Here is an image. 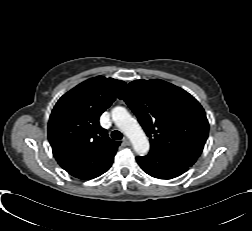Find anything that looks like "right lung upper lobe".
Here are the masks:
<instances>
[{"mask_svg": "<svg viewBox=\"0 0 252 231\" xmlns=\"http://www.w3.org/2000/svg\"><path fill=\"white\" fill-rule=\"evenodd\" d=\"M124 85L120 80L94 77L56 103L48 123V139L58 164L70 175L88 180L111 167L120 142L108 137L99 117Z\"/></svg>", "mask_w": 252, "mask_h": 231, "instance_id": "obj_1", "label": "right lung upper lobe"}]
</instances>
